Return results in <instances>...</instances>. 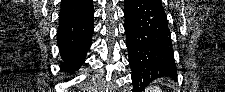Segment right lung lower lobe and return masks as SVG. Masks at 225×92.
Listing matches in <instances>:
<instances>
[{"label": "right lung lower lobe", "instance_id": "obj_1", "mask_svg": "<svg viewBox=\"0 0 225 92\" xmlns=\"http://www.w3.org/2000/svg\"><path fill=\"white\" fill-rule=\"evenodd\" d=\"M93 15L94 11L80 19L59 23L57 44L62 71L73 73L84 63L94 30Z\"/></svg>", "mask_w": 225, "mask_h": 92}]
</instances>
